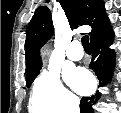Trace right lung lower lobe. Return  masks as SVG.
I'll use <instances>...</instances> for the list:
<instances>
[{
  "instance_id": "obj_1",
  "label": "right lung lower lobe",
  "mask_w": 121,
  "mask_h": 113,
  "mask_svg": "<svg viewBox=\"0 0 121 113\" xmlns=\"http://www.w3.org/2000/svg\"><path fill=\"white\" fill-rule=\"evenodd\" d=\"M114 33L109 26L91 39L92 61L90 68L96 73L100 86L109 83L115 66V53L109 46L113 43ZM101 97L97 92L91 97H83L80 102L81 113H93L92 105Z\"/></svg>"
}]
</instances>
